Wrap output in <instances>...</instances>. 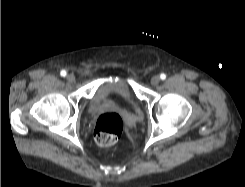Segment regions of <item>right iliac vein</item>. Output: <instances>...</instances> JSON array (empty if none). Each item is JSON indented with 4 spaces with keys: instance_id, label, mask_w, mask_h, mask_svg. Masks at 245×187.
Segmentation results:
<instances>
[{
    "instance_id": "63e3f726",
    "label": "right iliac vein",
    "mask_w": 245,
    "mask_h": 187,
    "mask_svg": "<svg viewBox=\"0 0 245 187\" xmlns=\"http://www.w3.org/2000/svg\"><path fill=\"white\" fill-rule=\"evenodd\" d=\"M76 78H75V75L74 74H68L67 75V81L70 82V83H73L75 82Z\"/></svg>"
}]
</instances>
